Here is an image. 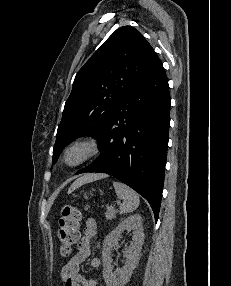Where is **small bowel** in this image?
<instances>
[{
	"mask_svg": "<svg viewBox=\"0 0 231 286\" xmlns=\"http://www.w3.org/2000/svg\"><path fill=\"white\" fill-rule=\"evenodd\" d=\"M98 230L97 221L88 218L85 221L83 236L78 243L77 252L66 262L60 272L62 286H98L95 279L86 278L80 273V266L85 262L91 253V241ZM92 269H98L101 266V260L98 257L90 259Z\"/></svg>",
	"mask_w": 231,
	"mask_h": 286,
	"instance_id": "c3829d8e",
	"label": "small bowel"
}]
</instances>
